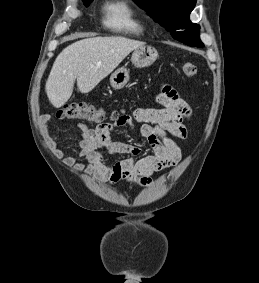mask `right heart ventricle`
Masks as SVG:
<instances>
[{"instance_id":"e07e8e85","label":"right heart ventricle","mask_w":259,"mask_h":283,"mask_svg":"<svg viewBox=\"0 0 259 283\" xmlns=\"http://www.w3.org/2000/svg\"><path fill=\"white\" fill-rule=\"evenodd\" d=\"M105 24L114 31L141 35L145 24L128 0H113L105 6Z\"/></svg>"}]
</instances>
